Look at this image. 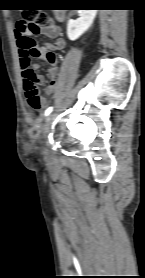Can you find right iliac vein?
I'll return each mask as SVG.
<instances>
[{
  "label": "right iliac vein",
  "instance_id": "1",
  "mask_svg": "<svg viewBox=\"0 0 145 278\" xmlns=\"http://www.w3.org/2000/svg\"><path fill=\"white\" fill-rule=\"evenodd\" d=\"M51 118H52V115H49L45 120V124H44L43 129H42V134L43 135H45L49 130Z\"/></svg>",
  "mask_w": 145,
  "mask_h": 278
}]
</instances>
